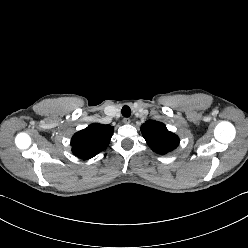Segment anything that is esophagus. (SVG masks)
Listing matches in <instances>:
<instances>
[{"mask_svg":"<svg viewBox=\"0 0 248 248\" xmlns=\"http://www.w3.org/2000/svg\"><path fill=\"white\" fill-rule=\"evenodd\" d=\"M123 123H125V124L131 123L130 118H124V119H123Z\"/></svg>","mask_w":248,"mask_h":248,"instance_id":"34e87169","label":"esophagus"}]
</instances>
